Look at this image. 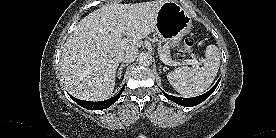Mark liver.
<instances>
[{
  "label": "liver",
  "mask_w": 276,
  "mask_h": 138,
  "mask_svg": "<svg viewBox=\"0 0 276 138\" xmlns=\"http://www.w3.org/2000/svg\"><path fill=\"white\" fill-rule=\"evenodd\" d=\"M166 1L114 3L84 17L62 51L60 74L66 89L84 100L107 99L114 90L119 54L142 46V39L155 30L157 13ZM118 29H123L121 34Z\"/></svg>",
  "instance_id": "liver-1"
}]
</instances>
